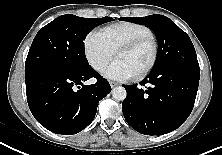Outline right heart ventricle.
Instances as JSON below:
<instances>
[{"mask_svg":"<svg viewBox=\"0 0 222 155\" xmlns=\"http://www.w3.org/2000/svg\"><path fill=\"white\" fill-rule=\"evenodd\" d=\"M101 33L115 52L125 43L142 36L153 35V31L150 27L136 22L112 24L104 27Z\"/></svg>","mask_w":222,"mask_h":155,"instance_id":"obj_1","label":"right heart ventricle"}]
</instances>
